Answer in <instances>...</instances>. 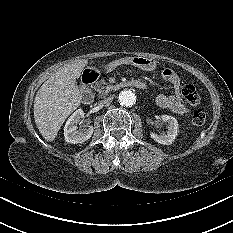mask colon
I'll use <instances>...</instances> for the list:
<instances>
[{
    "instance_id": "obj_1",
    "label": "colon",
    "mask_w": 233,
    "mask_h": 233,
    "mask_svg": "<svg viewBox=\"0 0 233 233\" xmlns=\"http://www.w3.org/2000/svg\"><path fill=\"white\" fill-rule=\"evenodd\" d=\"M182 96L185 101L192 107H197L200 104L201 97L196 87L192 84H187L182 90ZM206 116L202 109L196 108L192 113V123L195 126H202L205 123Z\"/></svg>"
}]
</instances>
